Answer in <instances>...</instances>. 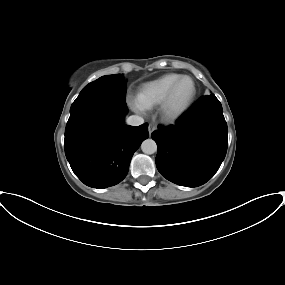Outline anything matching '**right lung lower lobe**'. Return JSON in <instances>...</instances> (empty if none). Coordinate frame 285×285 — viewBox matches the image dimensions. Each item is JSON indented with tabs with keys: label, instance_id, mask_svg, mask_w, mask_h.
Here are the masks:
<instances>
[{
	"label": "right lung lower lobe",
	"instance_id": "98d812e1",
	"mask_svg": "<svg viewBox=\"0 0 285 285\" xmlns=\"http://www.w3.org/2000/svg\"><path fill=\"white\" fill-rule=\"evenodd\" d=\"M125 98L98 96L70 112L65 155L78 178L92 188H106L127 175L134 152L148 138V124H124Z\"/></svg>",
	"mask_w": 285,
	"mask_h": 285
}]
</instances>
